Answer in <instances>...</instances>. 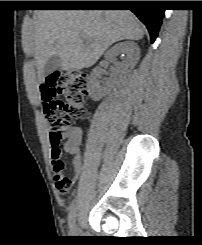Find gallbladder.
I'll return each instance as SVG.
<instances>
[{
  "mask_svg": "<svg viewBox=\"0 0 202 245\" xmlns=\"http://www.w3.org/2000/svg\"><path fill=\"white\" fill-rule=\"evenodd\" d=\"M61 59L57 55L51 56L43 67V75L48 76L60 67Z\"/></svg>",
  "mask_w": 202,
  "mask_h": 245,
  "instance_id": "bac80fb5",
  "label": "gallbladder"
}]
</instances>
